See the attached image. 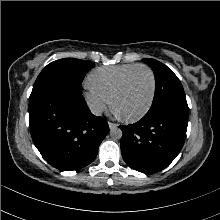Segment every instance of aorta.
Here are the masks:
<instances>
[{
	"mask_svg": "<svg viewBox=\"0 0 220 220\" xmlns=\"http://www.w3.org/2000/svg\"><path fill=\"white\" fill-rule=\"evenodd\" d=\"M110 136L113 138V139H121L122 137V130L118 127H114L110 130Z\"/></svg>",
	"mask_w": 220,
	"mask_h": 220,
	"instance_id": "obj_1",
	"label": "aorta"
}]
</instances>
